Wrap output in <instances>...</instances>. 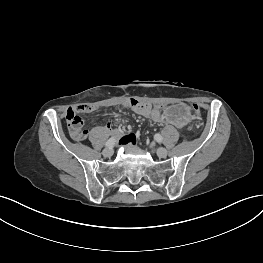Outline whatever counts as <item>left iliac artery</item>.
Masks as SVG:
<instances>
[{
  "label": "left iliac artery",
  "instance_id": "left-iliac-artery-1",
  "mask_svg": "<svg viewBox=\"0 0 263 263\" xmlns=\"http://www.w3.org/2000/svg\"><path fill=\"white\" fill-rule=\"evenodd\" d=\"M154 138L159 143H161L163 141V138L160 134H155Z\"/></svg>",
  "mask_w": 263,
  "mask_h": 263
}]
</instances>
